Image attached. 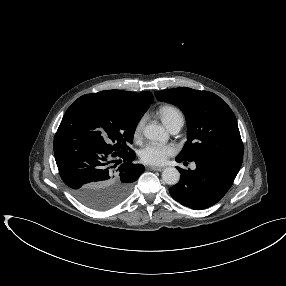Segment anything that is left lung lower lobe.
<instances>
[{
    "label": "left lung lower lobe",
    "instance_id": "1",
    "mask_svg": "<svg viewBox=\"0 0 286 286\" xmlns=\"http://www.w3.org/2000/svg\"><path fill=\"white\" fill-rule=\"evenodd\" d=\"M176 161L184 160L177 157ZM195 163V170L177 167L181 180L169 192L180 204L199 210L222 199L232 186L241 165L218 158H201Z\"/></svg>",
    "mask_w": 286,
    "mask_h": 286
}]
</instances>
